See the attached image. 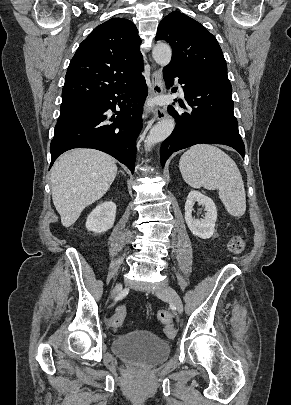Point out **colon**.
I'll use <instances>...</instances> for the list:
<instances>
[{"label": "colon", "mask_w": 291, "mask_h": 405, "mask_svg": "<svg viewBox=\"0 0 291 405\" xmlns=\"http://www.w3.org/2000/svg\"><path fill=\"white\" fill-rule=\"evenodd\" d=\"M246 242L241 237H234L229 243V250L233 255L240 254L245 248ZM127 314V308L125 305H120L116 308L115 312L108 320L110 328L116 330L123 324ZM158 319L164 324V334L169 339H173L177 335V330L172 324L171 316L166 310H159L157 313Z\"/></svg>", "instance_id": "1"}]
</instances>
